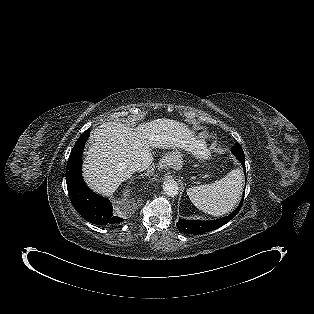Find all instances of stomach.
<instances>
[{
  "label": "stomach",
  "mask_w": 314,
  "mask_h": 314,
  "mask_svg": "<svg viewBox=\"0 0 314 314\" xmlns=\"http://www.w3.org/2000/svg\"><path fill=\"white\" fill-rule=\"evenodd\" d=\"M182 156L183 154L179 149H173L170 153L166 155L164 163L175 169H180L183 164Z\"/></svg>",
  "instance_id": "1"
}]
</instances>
